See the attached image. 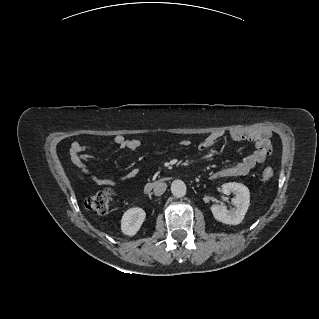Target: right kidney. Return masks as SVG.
<instances>
[{
	"label": "right kidney",
	"instance_id": "obj_1",
	"mask_svg": "<svg viewBox=\"0 0 319 319\" xmlns=\"http://www.w3.org/2000/svg\"><path fill=\"white\" fill-rule=\"evenodd\" d=\"M146 217V213L142 208L133 207L128 209L121 219V231L128 236H134Z\"/></svg>",
	"mask_w": 319,
	"mask_h": 319
}]
</instances>
